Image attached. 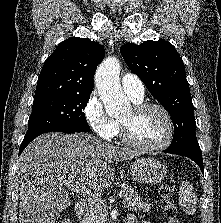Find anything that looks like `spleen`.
I'll return each mask as SVG.
<instances>
[{"instance_id": "3e777b00", "label": "spleen", "mask_w": 221, "mask_h": 223, "mask_svg": "<svg viewBox=\"0 0 221 223\" xmlns=\"http://www.w3.org/2000/svg\"><path fill=\"white\" fill-rule=\"evenodd\" d=\"M179 203L185 213L194 215L196 212L197 197L192 184L183 182L179 190Z\"/></svg>"}]
</instances>
